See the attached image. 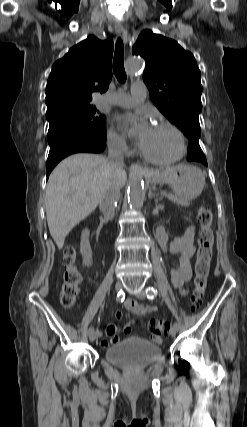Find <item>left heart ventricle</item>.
Here are the masks:
<instances>
[{"mask_svg":"<svg viewBox=\"0 0 247 427\" xmlns=\"http://www.w3.org/2000/svg\"><path fill=\"white\" fill-rule=\"evenodd\" d=\"M142 149L154 158H170L178 150V141L169 129L153 127Z\"/></svg>","mask_w":247,"mask_h":427,"instance_id":"obj_1","label":"left heart ventricle"}]
</instances>
